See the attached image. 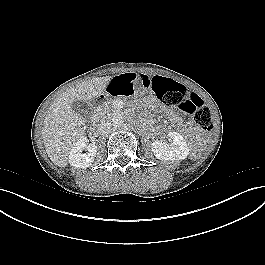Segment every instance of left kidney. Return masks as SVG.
<instances>
[{
  "instance_id": "left-kidney-1",
  "label": "left kidney",
  "mask_w": 265,
  "mask_h": 265,
  "mask_svg": "<svg viewBox=\"0 0 265 265\" xmlns=\"http://www.w3.org/2000/svg\"><path fill=\"white\" fill-rule=\"evenodd\" d=\"M168 136L172 141L171 144L162 140H155L151 149L155 157L165 161L184 160L189 155V148L181 134L177 132H169Z\"/></svg>"
}]
</instances>
